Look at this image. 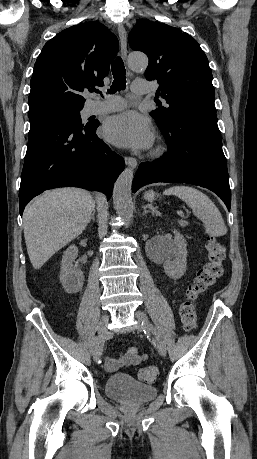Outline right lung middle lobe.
I'll return each instance as SVG.
<instances>
[{
    "mask_svg": "<svg viewBox=\"0 0 257 459\" xmlns=\"http://www.w3.org/2000/svg\"><path fill=\"white\" fill-rule=\"evenodd\" d=\"M83 107H59L43 109L29 113V119L51 118L65 123L84 125L81 121L80 111Z\"/></svg>",
    "mask_w": 257,
    "mask_h": 459,
    "instance_id": "dd1d6c3e",
    "label": "right lung middle lobe"
}]
</instances>
